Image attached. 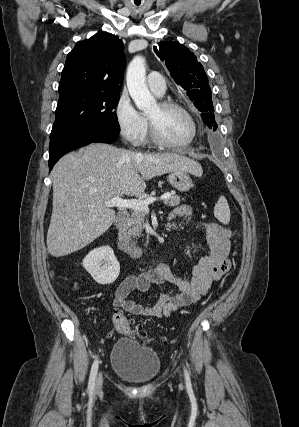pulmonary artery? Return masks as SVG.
<instances>
[{
  "mask_svg": "<svg viewBox=\"0 0 299 427\" xmlns=\"http://www.w3.org/2000/svg\"><path fill=\"white\" fill-rule=\"evenodd\" d=\"M149 89L158 97H162L166 91V81L164 76L156 71L150 72L147 77Z\"/></svg>",
  "mask_w": 299,
  "mask_h": 427,
  "instance_id": "e3ab8cb5",
  "label": "pulmonary artery"
}]
</instances>
